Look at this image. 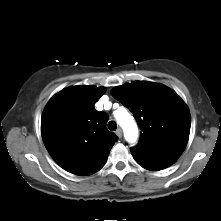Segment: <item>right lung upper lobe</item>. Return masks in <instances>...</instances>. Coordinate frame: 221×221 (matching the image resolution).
I'll use <instances>...</instances> for the list:
<instances>
[{"instance_id": "cb5924a9", "label": "right lung upper lobe", "mask_w": 221, "mask_h": 221, "mask_svg": "<svg viewBox=\"0 0 221 221\" xmlns=\"http://www.w3.org/2000/svg\"><path fill=\"white\" fill-rule=\"evenodd\" d=\"M104 87L78 85L54 95L41 119V134L52 158L66 171L89 175L100 170L117 136L106 128L108 115L94 104Z\"/></svg>"}]
</instances>
